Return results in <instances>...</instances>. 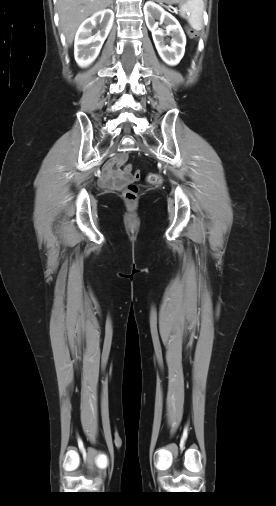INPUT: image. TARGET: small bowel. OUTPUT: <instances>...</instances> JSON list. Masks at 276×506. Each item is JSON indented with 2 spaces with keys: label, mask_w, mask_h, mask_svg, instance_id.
<instances>
[{
  "label": "small bowel",
  "mask_w": 276,
  "mask_h": 506,
  "mask_svg": "<svg viewBox=\"0 0 276 506\" xmlns=\"http://www.w3.org/2000/svg\"><path fill=\"white\" fill-rule=\"evenodd\" d=\"M125 156L118 155L117 158L110 161L104 168L103 175L101 177L100 184L102 187H117L123 182L130 180L129 175L126 172H121L115 169V165L123 163Z\"/></svg>",
  "instance_id": "obj_1"
}]
</instances>
